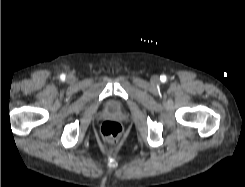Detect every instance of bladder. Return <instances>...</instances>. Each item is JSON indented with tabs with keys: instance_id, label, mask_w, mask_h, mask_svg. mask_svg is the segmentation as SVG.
I'll use <instances>...</instances> for the list:
<instances>
[{
	"instance_id": "1",
	"label": "bladder",
	"mask_w": 245,
	"mask_h": 187,
	"mask_svg": "<svg viewBox=\"0 0 245 187\" xmlns=\"http://www.w3.org/2000/svg\"><path fill=\"white\" fill-rule=\"evenodd\" d=\"M110 108H111L112 110H117V106H116V104H114V103H112V104L110 105Z\"/></svg>"
}]
</instances>
